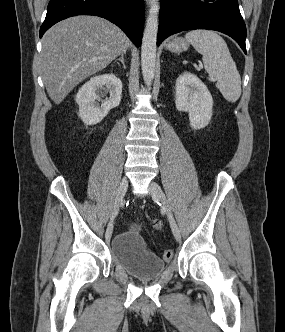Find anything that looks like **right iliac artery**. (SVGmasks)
I'll use <instances>...</instances> for the list:
<instances>
[{"label":"right iliac artery","mask_w":285,"mask_h":332,"mask_svg":"<svg viewBox=\"0 0 285 332\" xmlns=\"http://www.w3.org/2000/svg\"><path fill=\"white\" fill-rule=\"evenodd\" d=\"M118 210H119V208H117V209L114 210V212H113V214H112V217H111V220H113V219L115 218V216H116L117 213H118Z\"/></svg>","instance_id":"1"}]
</instances>
